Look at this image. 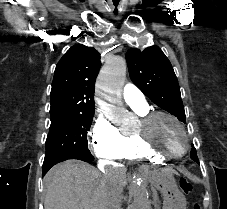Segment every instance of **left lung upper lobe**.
I'll use <instances>...</instances> for the list:
<instances>
[{
  "mask_svg": "<svg viewBox=\"0 0 227 209\" xmlns=\"http://www.w3.org/2000/svg\"><path fill=\"white\" fill-rule=\"evenodd\" d=\"M126 60L133 83L152 102L185 123L178 80L162 50L157 46L148 47L143 51L129 49ZM191 159L199 164L195 148L191 150Z\"/></svg>",
  "mask_w": 227,
  "mask_h": 209,
  "instance_id": "left-lung-upper-lobe-1",
  "label": "left lung upper lobe"
}]
</instances>
